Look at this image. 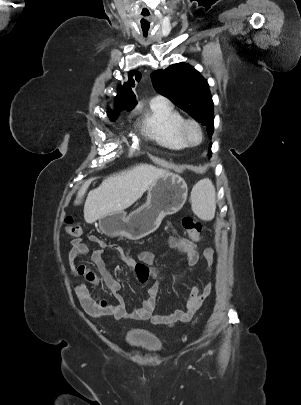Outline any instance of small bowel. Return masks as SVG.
<instances>
[{
  "mask_svg": "<svg viewBox=\"0 0 301 405\" xmlns=\"http://www.w3.org/2000/svg\"><path fill=\"white\" fill-rule=\"evenodd\" d=\"M168 228L170 231L168 236L169 248L181 253L189 266L196 265L200 256L198 244L191 242L189 236L184 237L180 235L170 223H168ZM87 239L97 244V248L91 253V259L97 267L99 274L96 275L87 266L77 263V259L80 256L89 253L87 244L79 237L73 238L70 242V273L72 275L83 276L86 280L95 285H102V287L115 298V302L107 306L104 312L107 315H113L117 320L130 317L137 320H151L154 324L166 326H172L178 322H187L201 308L204 300L212 291L211 283L206 284L203 288L195 286L191 289L184 308H178L170 315H153L160 292L159 274L156 270L150 268L154 263L153 253L141 251L137 255V261L129 252H121L119 256L120 260L135 271L137 279L141 284L147 283L150 278L155 279V283L148 290L149 296L141 307L129 312L124 299L119 293L121 285L108 271L104 258L106 249L119 250L118 246L109 244L95 235H88ZM213 254L214 252L211 248H206L202 251V256L210 265L213 263ZM76 293L82 302L91 294L90 290L85 285L78 286Z\"/></svg>",
  "mask_w": 301,
  "mask_h": 405,
  "instance_id": "obj_1",
  "label": "small bowel"
}]
</instances>
